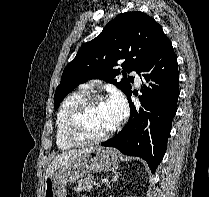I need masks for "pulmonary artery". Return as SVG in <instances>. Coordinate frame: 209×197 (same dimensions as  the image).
<instances>
[{"label": "pulmonary artery", "mask_w": 209, "mask_h": 197, "mask_svg": "<svg viewBox=\"0 0 209 197\" xmlns=\"http://www.w3.org/2000/svg\"><path fill=\"white\" fill-rule=\"evenodd\" d=\"M131 74L135 77V85L137 87L140 86V82H141V77H140V74L137 70H133L131 72ZM95 86V83L94 82H91V83H88L86 85H84V88H93Z\"/></svg>", "instance_id": "1"}]
</instances>
